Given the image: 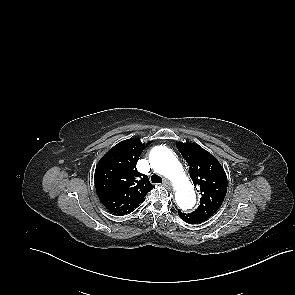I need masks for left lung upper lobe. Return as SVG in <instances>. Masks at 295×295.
Listing matches in <instances>:
<instances>
[{"label":"left lung upper lobe","mask_w":295,"mask_h":295,"mask_svg":"<svg viewBox=\"0 0 295 295\" xmlns=\"http://www.w3.org/2000/svg\"><path fill=\"white\" fill-rule=\"evenodd\" d=\"M177 148L188 162L190 177L201 194L196 215L211 217L217 212L227 192V176L217 159L194 143L179 142Z\"/></svg>","instance_id":"1"}]
</instances>
